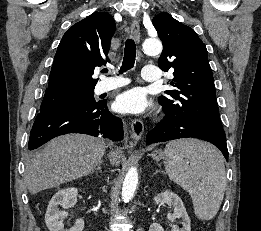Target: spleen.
<instances>
[{
  "mask_svg": "<svg viewBox=\"0 0 261 231\" xmlns=\"http://www.w3.org/2000/svg\"><path fill=\"white\" fill-rule=\"evenodd\" d=\"M165 170L169 178L189 192L195 215L210 220L218 212L226 187L224 158L211 144L186 138L165 148Z\"/></svg>",
  "mask_w": 261,
  "mask_h": 231,
  "instance_id": "obj_1",
  "label": "spleen"
}]
</instances>
